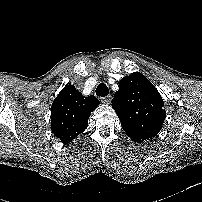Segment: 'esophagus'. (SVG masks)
Returning a JSON list of instances; mask_svg holds the SVG:
<instances>
[{
  "label": "esophagus",
  "instance_id": "34e87169",
  "mask_svg": "<svg viewBox=\"0 0 202 202\" xmlns=\"http://www.w3.org/2000/svg\"><path fill=\"white\" fill-rule=\"evenodd\" d=\"M111 98L112 96L111 95H108L107 97H101L100 100L104 103H110L111 102Z\"/></svg>",
  "mask_w": 202,
  "mask_h": 202
}]
</instances>
